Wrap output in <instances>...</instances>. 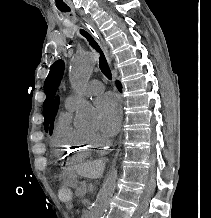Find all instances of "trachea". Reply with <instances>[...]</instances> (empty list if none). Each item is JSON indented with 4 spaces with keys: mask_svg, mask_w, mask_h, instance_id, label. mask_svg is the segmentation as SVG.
I'll use <instances>...</instances> for the list:
<instances>
[{
    "mask_svg": "<svg viewBox=\"0 0 211 218\" xmlns=\"http://www.w3.org/2000/svg\"><path fill=\"white\" fill-rule=\"evenodd\" d=\"M81 34L88 40L89 44L91 47H93L97 52H99L100 57H99V67L103 75H105L106 78L111 80V70L109 68V65L107 63V60L105 58V55L103 54L102 50L98 46V43L94 40L92 35L90 33H87L85 30H81Z\"/></svg>",
    "mask_w": 211,
    "mask_h": 218,
    "instance_id": "3493384b",
    "label": "trachea"
}]
</instances>
